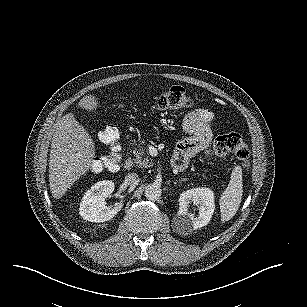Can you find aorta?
I'll return each instance as SVG.
<instances>
[{"instance_id": "1", "label": "aorta", "mask_w": 307, "mask_h": 307, "mask_svg": "<svg viewBox=\"0 0 307 307\" xmlns=\"http://www.w3.org/2000/svg\"><path fill=\"white\" fill-rule=\"evenodd\" d=\"M144 195L149 200H157L162 196V189L160 185L151 183L146 186Z\"/></svg>"}]
</instances>
